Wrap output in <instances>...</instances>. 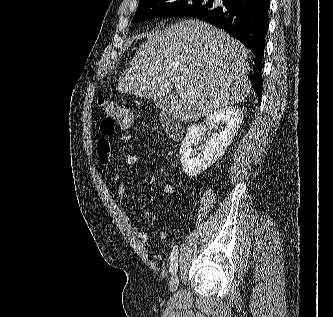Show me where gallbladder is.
Segmentation results:
<instances>
[{
	"mask_svg": "<svg viewBox=\"0 0 333 317\" xmlns=\"http://www.w3.org/2000/svg\"><path fill=\"white\" fill-rule=\"evenodd\" d=\"M172 98L170 96H159L153 99V103L158 109H168L171 105Z\"/></svg>",
	"mask_w": 333,
	"mask_h": 317,
	"instance_id": "1",
	"label": "gallbladder"
}]
</instances>
